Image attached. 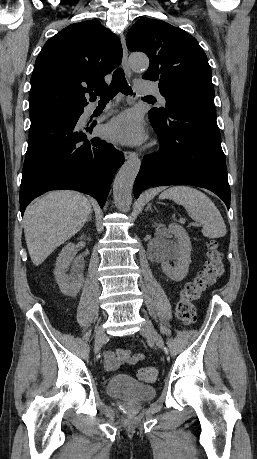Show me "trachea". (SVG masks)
I'll return each instance as SVG.
<instances>
[{
	"instance_id": "1",
	"label": "trachea",
	"mask_w": 257,
	"mask_h": 459,
	"mask_svg": "<svg viewBox=\"0 0 257 459\" xmlns=\"http://www.w3.org/2000/svg\"><path fill=\"white\" fill-rule=\"evenodd\" d=\"M123 93L125 95H132L133 91L128 85L125 74L122 68H117L113 73L112 82L109 86L104 89H96V95L100 96V102L110 101L117 93ZM146 98H152L146 96Z\"/></svg>"
}]
</instances>
